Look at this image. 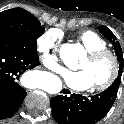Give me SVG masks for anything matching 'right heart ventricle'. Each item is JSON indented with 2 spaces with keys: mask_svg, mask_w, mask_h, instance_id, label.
<instances>
[{
  "mask_svg": "<svg viewBox=\"0 0 124 124\" xmlns=\"http://www.w3.org/2000/svg\"><path fill=\"white\" fill-rule=\"evenodd\" d=\"M78 42L87 50H96L107 47V43L98 33L86 30L78 36Z\"/></svg>",
  "mask_w": 124,
  "mask_h": 124,
  "instance_id": "obj_1",
  "label": "right heart ventricle"
}]
</instances>
